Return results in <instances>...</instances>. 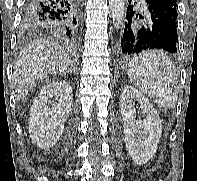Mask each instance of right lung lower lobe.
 I'll return each mask as SVG.
<instances>
[{"label": "right lung lower lobe", "mask_w": 197, "mask_h": 181, "mask_svg": "<svg viewBox=\"0 0 197 181\" xmlns=\"http://www.w3.org/2000/svg\"><path fill=\"white\" fill-rule=\"evenodd\" d=\"M82 0H26L23 25L42 26L75 41L81 26Z\"/></svg>", "instance_id": "1"}]
</instances>
